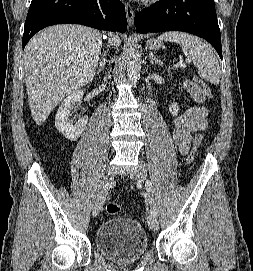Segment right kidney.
Segmentation results:
<instances>
[{"label":"right kidney","mask_w":253,"mask_h":271,"mask_svg":"<svg viewBox=\"0 0 253 271\" xmlns=\"http://www.w3.org/2000/svg\"><path fill=\"white\" fill-rule=\"evenodd\" d=\"M83 95L84 92L82 90H76L71 93L63 100L55 117L56 129L70 141H76L80 137L88 121V117H85L77 125H74L72 120L69 119L73 105L80 102Z\"/></svg>","instance_id":"right-kidney-1"}]
</instances>
